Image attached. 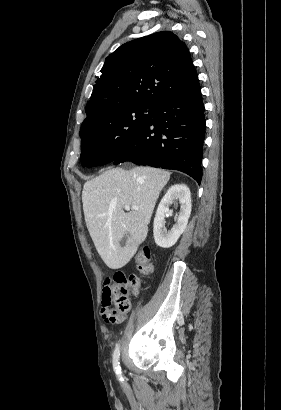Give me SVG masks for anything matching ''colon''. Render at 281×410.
Returning <instances> with one entry per match:
<instances>
[{"instance_id": "5ec220e1", "label": "colon", "mask_w": 281, "mask_h": 410, "mask_svg": "<svg viewBox=\"0 0 281 410\" xmlns=\"http://www.w3.org/2000/svg\"><path fill=\"white\" fill-rule=\"evenodd\" d=\"M136 261L142 273L149 274L152 272L151 251L148 246L141 248L136 256ZM139 288L140 280L136 275H126L122 272H117L109 287L110 304L112 301L114 308L106 314V321L110 323L119 322L122 314L130 311L131 296L138 295Z\"/></svg>"}]
</instances>
